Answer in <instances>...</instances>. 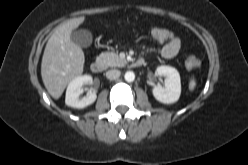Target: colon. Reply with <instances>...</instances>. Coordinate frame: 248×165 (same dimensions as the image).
Returning <instances> with one entry per match:
<instances>
[{"label":"colon","mask_w":248,"mask_h":165,"mask_svg":"<svg viewBox=\"0 0 248 165\" xmlns=\"http://www.w3.org/2000/svg\"><path fill=\"white\" fill-rule=\"evenodd\" d=\"M151 36L158 41H165L173 37V33L166 29L154 28L151 30ZM200 61L193 55L188 56L185 59V67L188 70H193L198 68Z\"/></svg>","instance_id":"5ec220e1"}]
</instances>
